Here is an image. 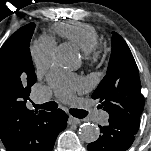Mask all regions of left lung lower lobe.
<instances>
[{"label":"left lung lower lobe","instance_id":"1","mask_svg":"<svg viewBox=\"0 0 151 151\" xmlns=\"http://www.w3.org/2000/svg\"><path fill=\"white\" fill-rule=\"evenodd\" d=\"M99 127L102 135L88 145V151H126L134 141V134L113 122Z\"/></svg>","mask_w":151,"mask_h":151}]
</instances>
